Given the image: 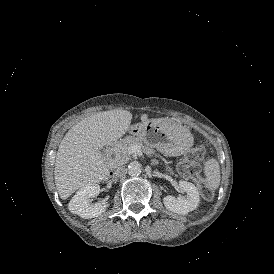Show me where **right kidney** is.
<instances>
[{"instance_id":"1","label":"right kidney","mask_w":274,"mask_h":274,"mask_svg":"<svg viewBox=\"0 0 274 274\" xmlns=\"http://www.w3.org/2000/svg\"><path fill=\"white\" fill-rule=\"evenodd\" d=\"M99 192L100 186L95 183H88L81 187L68 204L70 212L84 219L100 216L106 211L108 204L105 202L90 204L89 201L90 197L97 196Z\"/></svg>"}]
</instances>
